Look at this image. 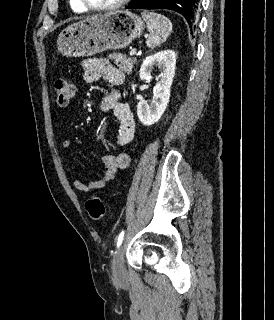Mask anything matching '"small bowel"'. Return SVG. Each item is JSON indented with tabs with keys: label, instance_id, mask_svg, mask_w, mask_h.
Masks as SVG:
<instances>
[{
	"label": "small bowel",
	"instance_id": "small-bowel-1",
	"mask_svg": "<svg viewBox=\"0 0 274 320\" xmlns=\"http://www.w3.org/2000/svg\"><path fill=\"white\" fill-rule=\"evenodd\" d=\"M83 77L87 83H93L104 78L109 84L119 86L124 81L123 74L105 57H94L86 60L83 65ZM101 109L105 112H113L119 123V131L116 136V144L125 146L135 136L136 124L129 106L120 101V93L115 90L103 97ZM70 147L68 140L61 142V148L67 151ZM104 170L96 180L85 183L80 179H73L72 186L81 192L89 193L104 188L114 180L117 172L129 167L131 159L127 153L105 154L102 157Z\"/></svg>",
	"mask_w": 274,
	"mask_h": 320
}]
</instances>
